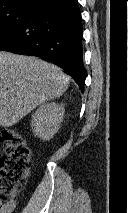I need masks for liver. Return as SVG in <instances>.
Listing matches in <instances>:
<instances>
[{"mask_svg": "<svg viewBox=\"0 0 128 213\" xmlns=\"http://www.w3.org/2000/svg\"><path fill=\"white\" fill-rule=\"evenodd\" d=\"M70 77L33 56L0 51V126L10 127L67 90Z\"/></svg>", "mask_w": 128, "mask_h": 213, "instance_id": "1", "label": "liver"}]
</instances>
